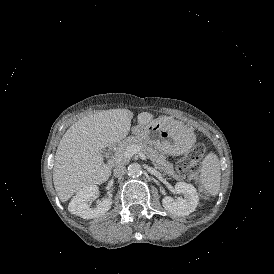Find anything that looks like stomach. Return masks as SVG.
Listing matches in <instances>:
<instances>
[{
  "label": "stomach",
  "mask_w": 274,
  "mask_h": 274,
  "mask_svg": "<svg viewBox=\"0 0 274 274\" xmlns=\"http://www.w3.org/2000/svg\"><path fill=\"white\" fill-rule=\"evenodd\" d=\"M177 122L171 117L161 116L145 126L133 127L132 132L163 154L179 156L193 146L195 139L190 127ZM181 126L183 131H180Z\"/></svg>",
  "instance_id": "0dacf381"
}]
</instances>
